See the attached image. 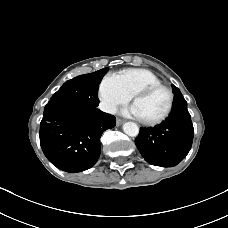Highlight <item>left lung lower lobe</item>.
I'll list each match as a JSON object with an SVG mask.
<instances>
[{
    "instance_id": "0a47b994",
    "label": "left lung lower lobe",
    "mask_w": 228,
    "mask_h": 228,
    "mask_svg": "<svg viewBox=\"0 0 228 228\" xmlns=\"http://www.w3.org/2000/svg\"><path fill=\"white\" fill-rule=\"evenodd\" d=\"M194 129L187 102L175 93L172 111L161 125L140 128L135 139L144 159L153 165L172 167L181 162L191 149Z\"/></svg>"
}]
</instances>
